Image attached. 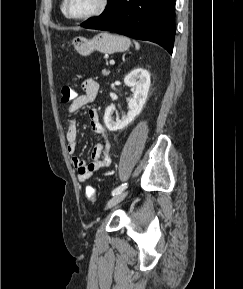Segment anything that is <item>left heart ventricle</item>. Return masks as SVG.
<instances>
[{
	"label": "left heart ventricle",
	"instance_id": "left-heart-ventricle-1",
	"mask_svg": "<svg viewBox=\"0 0 243 289\" xmlns=\"http://www.w3.org/2000/svg\"><path fill=\"white\" fill-rule=\"evenodd\" d=\"M101 0H69V11L74 16H83L95 11Z\"/></svg>",
	"mask_w": 243,
	"mask_h": 289
}]
</instances>
